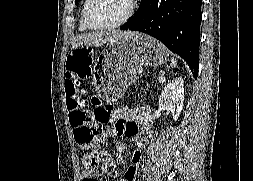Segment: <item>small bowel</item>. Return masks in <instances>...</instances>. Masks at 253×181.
Here are the masks:
<instances>
[{
  "mask_svg": "<svg viewBox=\"0 0 253 181\" xmlns=\"http://www.w3.org/2000/svg\"><path fill=\"white\" fill-rule=\"evenodd\" d=\"M91 69V60L89 53H80L79 61V72L76 84L79 88L86 89L85 80L87 79ZM136 112L128 107H120L114 111L112 118V128L110 130V135L113 138H118L122 136H131L134 138L138 146H142L143 142L139 135V128L135 122ZM143 159V155L139 149L135 150L132 155V164L127 169L124 177L119 181H135L136 175ZM111 163L110 165H112ZM82 181H95L91 172L84 169L81 173Z\"/></svg>",
  "mask_w": 253,
  "mask_h": 181,
  "instance_id": "small-bowel-1",
  "label": "small bowel"
}]
</instances>
